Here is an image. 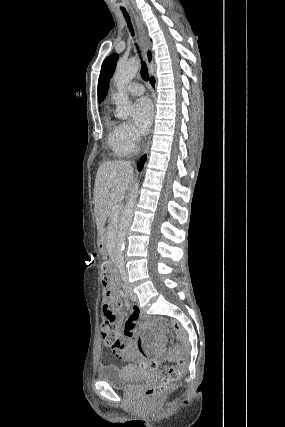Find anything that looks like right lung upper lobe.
Returning a JSON list of instances; mask_svg holds the SVG:
<instances>
[{
    "label": "right lung upper lobe",
    "mask_w": 285,
    "mask_h": 427,
    "mask_svg": "<svg viewBox=\"0 0 285 427\" xmlns=\"http://www.w3.org/2000/svg\"><path fill=\"white\" fill-rule=\"evenodd\" d=\"M148 56H149V60H151V54L150 53H148Z\"/></svg>",
    "instance_id": "obj_1"
}]
</instances>
